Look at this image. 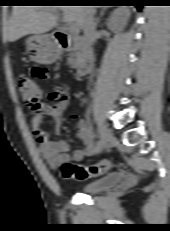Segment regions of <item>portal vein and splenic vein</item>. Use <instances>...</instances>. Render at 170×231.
<instances>
[{
	"instance_id": "obj_1",
	"label": "portal vein and splenic vein",
	"mask_w": 170,
	"mask_h": 231,
	"mask_svg": "<svg viewBox=\"0 0 170 231\" xmlns=\"http://www.w3.org/2000/svg\"><path fill=\"white\" fill-rule=\"evenodd\" d=\"M68 27H69V30L72 32V33H77L78 32V27L75 23H67Z\"/></svg>"
}]
</instances>
